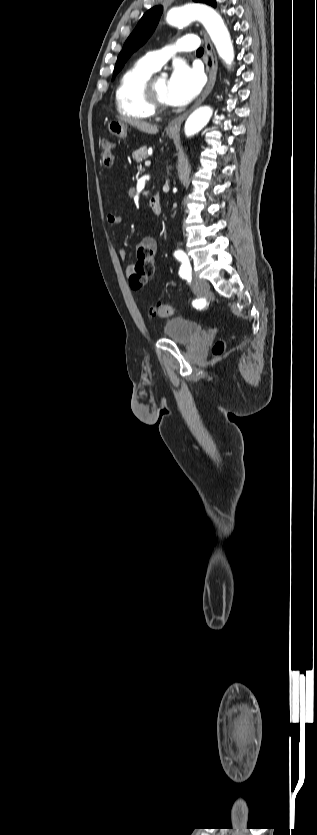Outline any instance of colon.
Segmentation results:
<instances>
[{"instance_id": "obj_1", "label": "colon", "mask_w": 317, "mask_h": 835, "mask_svg": "<svg viewBox=\"0 0 317 835\" xmlns=\"http://www.w3.org/2000/svg\"><path fill=\"white\" fill-rule=\"evenodd\" d=\"M100 157L106 166H110L114 160V144L110 141H103L99 148ZM154 263L140 258L134 265L129 277V285L133 290L142 289L154 273ZM175 307L169 303H161L150 308V315L166 318L174 315ZM215 354L224 351L223 342H217L213 349Z\"/></svg>"}]
</instances>
